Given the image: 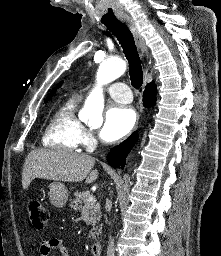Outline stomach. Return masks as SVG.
Returning <instances> with one entry per match:
<instances>
[{"mask_svg":"<svg viewBox=\"0 0 221 256\" xmlns=\"http://www.w3.org/2000/svg\"><path fill=\"white\" fill-rule=\"evenodd\" d=\"M49 196L55 207H63L68 200V190L64 184L53 182L49 185Z\"/></svg>","mask_w":221,"mask_h":256,"instance_id":"stomach-1","label":"stomach"}]
</instances>
